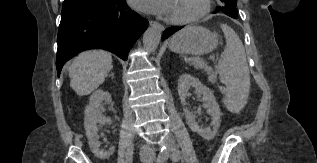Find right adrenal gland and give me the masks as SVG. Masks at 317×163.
<instances>
[{
    "mask_svg": "<svg viewBox=\"0 0 317 163\" xmlns=\"http://www.w3.org/2000/svg\"><path fill=\"white\" fill-rule=\"evenodd\" d=\"M109 77H111L112 79H114V73L111 72V73L109 74Z\"/></svg>",
    "mask_w": 317,
    "mask_h": 163,
    "instance_id": "1",
    "label": "right adrenal gland"
}]
</instances>
